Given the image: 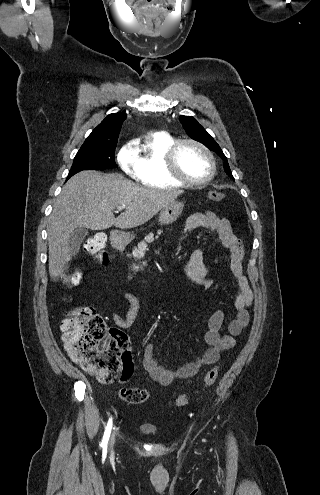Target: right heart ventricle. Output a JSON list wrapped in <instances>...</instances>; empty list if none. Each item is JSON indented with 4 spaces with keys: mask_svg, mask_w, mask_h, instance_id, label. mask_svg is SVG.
Instances as JSON below:
<instances>
[{
    "mask_svg": "<svg viewBox=\"0 0 320 495\" xmlns=\"http://www.w3.org/2000/svg\"><path fill=\"white\" fill-rule=\"evenodd\" d=\"M176 140L166 133L148 134L139 148L137 179L149 188H180L184 184L172 178L165 166V154Z\"/></svg>",
    "mask_w": 320,
    "mask_h": 495,
    "instance_id": "e07e8e85",
    "label": "right heart ventricle"
}]
</instances>
